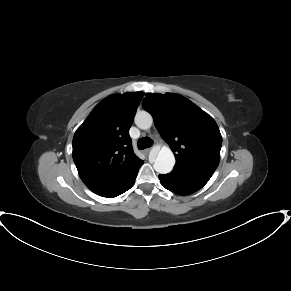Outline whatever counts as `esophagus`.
Wrapping results in <instances>:
<instances>
[{
  "instance_id": "1",
  "label": "esophagus",
  "mask_w": 291,
  "mask_h": 291,
  "mask_svg": "<svg viewBox=\"0 0 291 291\" xmlns=\"http://www.w3.org/2000/svg\"><path fill=\"white\" fill-rule=\"evenodd\" d=\"M143 152H144L145 154H148V153L150 152V148L145 149Z\"/></svg>"
}]
</instances>
